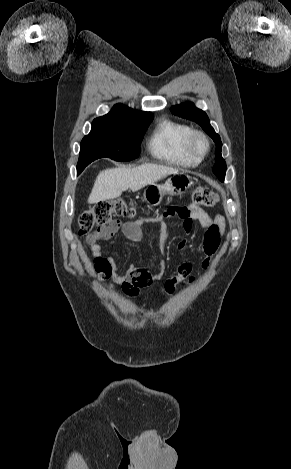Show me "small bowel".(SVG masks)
Here are the masks:
<instances>
[{
	"label": "small bowel",
	"instance_id": "small-bowel-1",
	"mask_svg": "<svg viewBox=\"0 0 291 469\" xmlns=\"http://www.w3.org/2000/svg\"><path fill=\"white\" fill-rule=\"evenodd\" d=\"M182 211L183 212L179 213L178 216L183 221V229L186 233H190L192 231L194 221H198L201 227L205 230L202 243L205 258L203 259L201 266L202 269L206 271L211 265L212 258L219 247L220 238L225 232V220L221 215L212 216L196 205H189L188 207L182 208ZM168 215L169 214L164 213L157 217L141 218L133 222H121L119 220H115L111 222L109 231L106 235L98 240L88 238L95 260L100 259L107 265L105 269H96L100 277L111 280L113 284L120 285L123 292L130 297L138 295L142 289L148 288L154 281L160 280L166 268L165 261H160L158 269L153 273H150L145 269L130 266L124 274H121L114 259L112 257L105 256L103 247L99 241L109 239L113 234L121 229L128 240L132 242H140L144 235L143 226L157 225L162 231H165L166 224L164 223V218ZM177 247L184 257L177 266L176 273L172 277L166 279L163 283V287L168 293H172L178 286H187L195 282V277L191 275L192 260L188 255V241L186 239L180 240Z\"/></svg>",
	"mask_w": 291,
	"mask_h": 469
}]
</instances>
